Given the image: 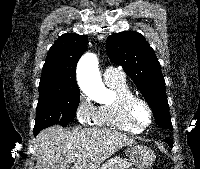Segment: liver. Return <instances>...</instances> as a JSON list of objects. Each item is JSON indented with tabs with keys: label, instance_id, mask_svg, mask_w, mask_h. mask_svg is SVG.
<instances>
[{
	"label": "liver",
	"instance_id": "1",
	"mask_svg": "<svg viewBox=\"0 0 200 169\" xmlns=\"http://www.w3.org/2000/svg\"><path fill=\"white\" fill-rule=\"evenodd\" d=\"M35 169H99L120 148L136 143L124 133L109 128L64 129L52 126L35 139Z\"/></svg>",
	"mask_w": 200,
	"mask_h": 169
}]
</instances>
